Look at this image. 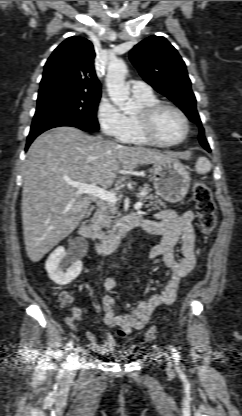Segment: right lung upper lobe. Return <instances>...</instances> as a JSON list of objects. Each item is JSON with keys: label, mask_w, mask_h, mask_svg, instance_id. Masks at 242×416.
Instances as JSON below:
<instances>
[{"label": "right lung upper lobe", "mask_w": 242, "mask_h": 416, "mask_svg": "<svg viewBox=\"0 0 242 416\" xmlns=\"http://www.w3.org/2000/svg\"><path fill=\"white\" fill-rule=\"evenodd\" d=\"M94 57L90 41L77 36L67 38L53 51L44 66L39 95L57 90L101 94Z\"/></svg>", "instance_id": "right-lung-upper-lobe-1"}]
</instances>
